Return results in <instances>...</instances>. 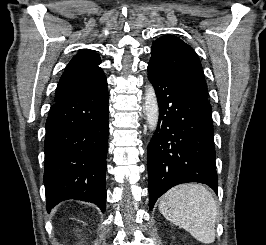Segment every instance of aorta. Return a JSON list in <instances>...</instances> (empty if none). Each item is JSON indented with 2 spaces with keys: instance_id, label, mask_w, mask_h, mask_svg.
Segmentation results:
<instances>
[{
  "instance_id": "obj_1",
  "label": "aorta",
  "mask_w": 266,
  "mask_h": 245,
  "mask_svg": "<svg viewBox=\"0 0 266 245\" xmlns=\"http://www.w3.org/2000/svg\"><path fill=\"white\" fill-rule=\"evenodd\" d=\"M144 110L146 114V123L150 133L156 131L159 120V106L155 92V88L151 82L146 84L145 96H144Z\"/></svg>"
}]
</instances>
